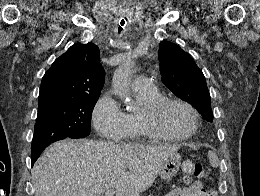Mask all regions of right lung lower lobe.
<instances>
[{"label": "right lung lower lobe", "instance_id": "right-lung-lower-lobe-1", "mask_svg": "<svg viewBox=\"0 0 260 196\" xmlns=\"http://www.w3.org/2000/svg\"><path fill=\"white\" fill-rule=\"evenodd\" d=\"M44 149H38V150H32L31 151V155H32V158H31V162H32V165L34 164V162L37 160V158L40 156L41 152L43 151Z\"/></svg>", "mask_w": 260, "mask_h": 196}]
</instances>
